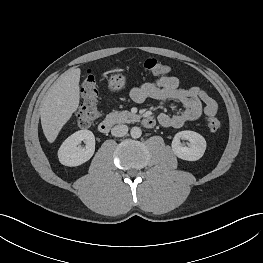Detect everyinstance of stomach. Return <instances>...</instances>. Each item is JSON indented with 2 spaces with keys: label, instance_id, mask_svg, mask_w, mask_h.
Instances as JSON below:
<instances>
[{
  "label": "stomach",
  "instance_id": "1",
  "mask_svg": "<svg viewBox=\"0 0 263 263\" xmlns=\"http://www.w3.org/2000/svg\"><path fill=\"white\" fill-rule=\"evenodd\" d=\"M126 78L122 74H115L109 79V87L112 91H119L124 88Z\"/></svg>",
  "mask_w": 263,
  "mask_h": 263
}]
</instances>
